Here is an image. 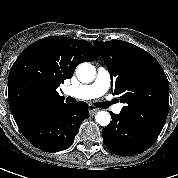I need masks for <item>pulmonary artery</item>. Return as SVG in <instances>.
<instances>
[{
    "label": "pulmonary artery",
    "mask_w": 178,
    "mask_h": 178,
    "mask_svg": "<svg viewBox=\"0 0 178 178\" xmlns=\"http://www.w3.org/2000/svg\"><path fill=\"white\" fill-rule=\"evenodd\" d=\"M111 75L105 67H100L97 70L95 80L91 84L67 86L64 88V93L68 96L80 99L90 100L104 95L110 88ZM113 112L119 113L122 109V104L112 105L107 103Z\"/></svg>",
    "instance_id": "pulmonary-artery-1"
}]
</instances>
